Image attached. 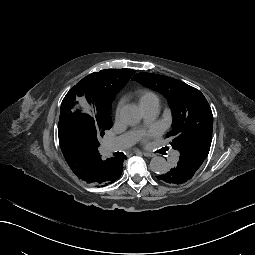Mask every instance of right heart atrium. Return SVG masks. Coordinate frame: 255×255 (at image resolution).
Masks as SVG:
<instances>
[{
	"label": "right heart atrium",
	"instance_id": "1",
	"mask_svg": "<svg viewBox=\"0 0 255 255\" xmlns=\"http://www.w3.org/2000/svg\"><path fill=\"white\" fill-rule=\"evenodd\" d=\"M123 105H124V100H120L119 103H118V105H117V109H116V115H117V117H119V114H120V112H121V110H122Z\"/></svg>",
	"mask_w": 255,
	"mask_h": 255
}]
</instances>
